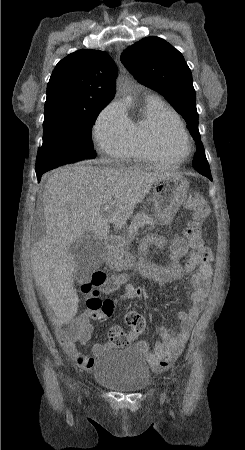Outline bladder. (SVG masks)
<instances>
[{"mask_svg":"<svg viewBox=\"0 0 245 450\" xmlns=\"http://www.w3.org/2000/svg\"><path fill=\"white\" fill-rule=\"evenodd\" d=\"M97 384L122 393H137L149 385L150 372L141 355L130 347L111 351L94 364Z\"/></svg>","mask_w":245,"mask_h":450,"instance_id":"31cf9c89","label":"bladder"}]
</instances>
